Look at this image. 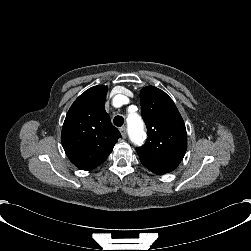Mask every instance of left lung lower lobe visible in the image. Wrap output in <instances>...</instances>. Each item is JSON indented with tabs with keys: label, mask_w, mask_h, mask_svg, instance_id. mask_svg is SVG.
Wrapping results in <instances>:
<instances>
[{
	"label": "left lung lower lobe",
	"mask_w": 251,
	"mask_h": 251,
	"mask_svg": "<svg viewBox=\"0 0 251 251\" xmlns=\"http://www.w3.org/2000/svg\"><path fill=\"white\" fill-rule=\"evenodd\" d=\"M150 171H152L153 173L155 174H158V175H162V174H165V172H157L156 170H153V169H150L148 168Z\"/></svg>",
	"instance_id": "1"
}]
</instances>
